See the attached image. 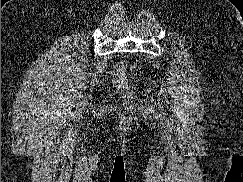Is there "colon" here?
<instances>
[{"instance_id": "5ec220e1", "label": "colon", "mask_w": 243, "mask_h": 182, "mask_svg": "<svg viewBox=\"0 0 243 182\" xmlns=\"http://www.w3.org/2000/svg\"><path fill=\"white\" fill-rule=\"evenodd\" d=\"M112 81L119 88H127L128 81L126 78L125 66L123 63H118L113 68Z\"/></svg>"}]
</instances>
